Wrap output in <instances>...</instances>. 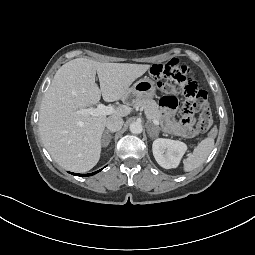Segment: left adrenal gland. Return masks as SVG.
<instances>
[{
  "mask_svg": "<svg viewBox=\"0 0 255 255\" xmlns=\"http://www.w3.org/2000/svg\"><path fill=\"white\" fill-rule=\"evenodd\" d=\"M160 129L158 128L157 131H159ZM150 135L152 136V134L150 133Z\"/></svg>",
  "mask_w": 255,
  "mask_h": 255,
  "instance_id": "left-adrenal-gland-1",
  "label": "left adrenal gland"
}]
</instances>
